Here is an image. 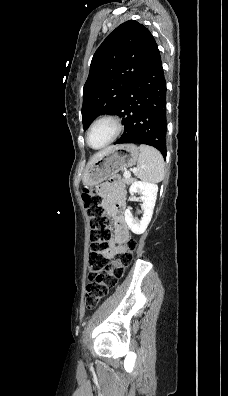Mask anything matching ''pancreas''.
Listing matches in <instances>:
<instances>
[{
	"instance_id": "pancreas-1",
	"label": "pancreas",
	"mask_w": 228,
	"mask_h": 396,
	"mask_svg": "<svg viewBox=\"0 0 228 396\" xmlns=\"http://www.w3.org/2000/svg\"><path fill=\"white\" fill-rule=\"evenodd\" d=\"M123 176H124L123 181L127 185L131 184L134 181V178H131L130 176H125L124 174Z\"/></svg>"
}]
</instances>
